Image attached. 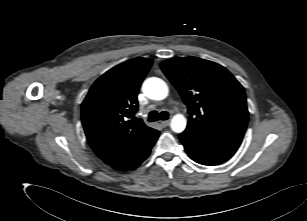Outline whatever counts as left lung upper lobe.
Listing matches in <instances>:
<instances>
[{
    "label": "left lung upper lobe",
    "mask_w": 307,
    "mask_h": 221,
    "mask_svg": "<svg viewBox=\"0 0 307 221\" xmlns=\"http://www.w3.org/2000/svg\"><path fill=\"white\" fill-rule=\"evenodd\" d=\"M160 66L188 106L187 127L243 138L249 114L246 95L227 69L197 57H176Z\"/></svg>",
    "instance_id": "1"
}]
</instances>
